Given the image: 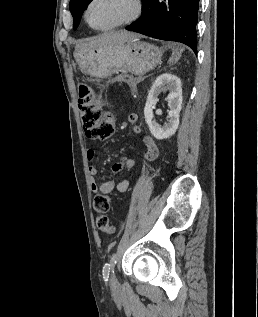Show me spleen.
Segmentation results:
<instances>
[{
  "label": "spleen",
  "instance_id": "obj_1",
  "mask_svg": "<svg viewBox=\"0 0 258 317\" xmlns=\"http://www.w3.org/2000/svg\"><path fill=\"white\" fill-rule=\"evenodd\" d=\"M183 48H172V56L169 58V62H176L181 56Z\"/></svg>",
  "mask_w": 258,
  "mask_h": 317
}]
</instances>
